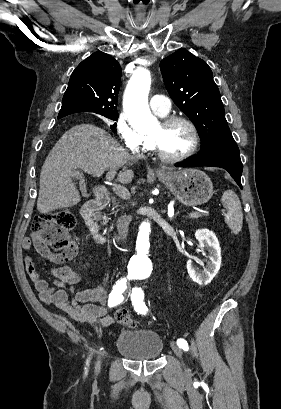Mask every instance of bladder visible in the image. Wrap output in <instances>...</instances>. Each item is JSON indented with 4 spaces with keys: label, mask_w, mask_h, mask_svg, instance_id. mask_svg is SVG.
Listing matches in <instances>:
<instances>
[{
    "label": "bladder",
    "mask_w": 281,
    "mask_h": 409,
    "mask_svg": "<svg viewBox=\"0 0 281 409\" xmlns=\"http://www.w3.org/2000/svg\"><path fill=\"white\" fill-rule=\"evenodd\" d=\"M114 350L127 360L152 362L161 357L164 338L153 329H121L115 336Z\"/></svg>",
    "instance_id": "1"
}]
</instances>
